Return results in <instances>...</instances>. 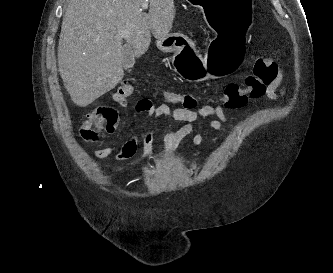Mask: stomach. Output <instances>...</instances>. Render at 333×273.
I'll list each match as a JSON object with an SVG mask.
<instances>
[{
	"mask_svg": "<svg viewBox=\"0 0 333 273\" xmlns=\"http://www.w3.org/2000/svg\"><path fill=\"white\" fill-rule=\"evenodd\" d=\"M205 14L206 27L210 32H218V38H246L247 32L256 23L252 16L254 0H187ZM158 49L174 53V70L186 78L188 75H204L209 81H224L225 75H238L239 65H245L247 50L245 39H214L208 44L207 58H196L192 41L178 32L157 40ZM204 65V68H203ZM192 80L193 78H189Z\"/></svg>",
	"mask_w": 333,
	"mask_h": 273,
	"instance_id": "1",
	"label": "stomach"
}]
</instances>
